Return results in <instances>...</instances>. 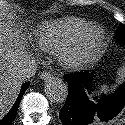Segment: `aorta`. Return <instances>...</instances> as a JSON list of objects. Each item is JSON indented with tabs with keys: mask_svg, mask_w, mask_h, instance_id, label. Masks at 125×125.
<instances>
[{
	"mask_svg": "<svg viewBox=\"0 0 125 125\" xmlns=\"http://www.w3.org/2000/svg\"><path fill=\"white\" fill-rule=\"evenodd\" d=\"M45 94L50 101L61 103L68 96V87L61 79L50 78L45 83Z\"/></svg>",
	"mask_w": 125,
	"mask_h": 125,
	"instance_id": "1",
	"label": "aorta"
}]
</instances>
